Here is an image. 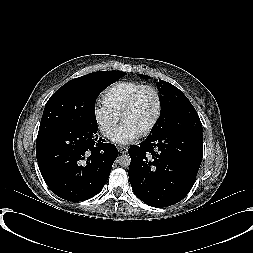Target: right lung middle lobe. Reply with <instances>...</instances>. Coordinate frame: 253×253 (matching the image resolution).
Wrapping results in <instances>:
<instances>
[{"label": "right lung middle lobe", "mask_w": 253, "mask_h": 253, "mask_svg": "<svg viewBox=\"0 0 253 253\" xmlns=\"http://www.w3.org/2000/svg\"><path fill=\"white\" fill-rule=\"evenodd\" d=\"M125 74L118 71H98L64 84L46 103L38 135L76 126L98 130L95 117L96 98L109 84Z\"/></svg>", "instance_id": "dd1d6c3e"}]
</instances>
